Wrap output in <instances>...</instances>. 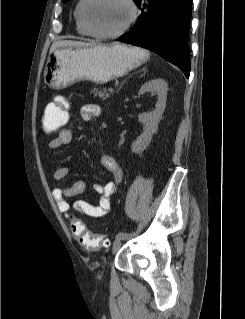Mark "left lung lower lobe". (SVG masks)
Here are the masks:
<instances>
[{"instance_id":"1","label":"left lung lower lobe","mask_w":245,"mask_h":319,"mask_svg":"<svg viewBox=\"0 0 245 319\" xmlns=\"http://www.w3.org/2000/svg\"><path fill=\"white\" fill-rule=\"evenodd\" d=\"M135 3L141 8V16L118 41L154 51L177 65L188 78L187 38L192 0H137Z\"/></svg>"}]
</instances>
